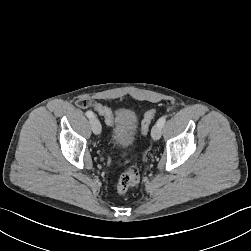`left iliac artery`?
I'll return each mask as SVG.
<instances>
[{
  "label": "left iliac artery",
  "mask_w": 251,
  "mask_h": 251,
  "mask_svg": "<svg viewBox=\"0 0 251 251\" xmlns=\"http://www.w3.org/2000/svg\"><path fill=\"white\" fill-rule=\"evenodd\" d=\"M165 122H166V116H162V117L158 120L157 125H159V126L162 128V127L164 126Z\"/></svg>",
  "instance_id": "44dca946"
}]
</instances>
